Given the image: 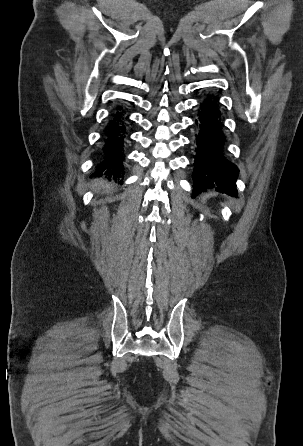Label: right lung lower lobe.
Masks as SVG:
<instances>
[{"label":"right lung lower lobe","mask_w":303,"mask_h":446,"mask_svg":"<svg viewBox=\"0 0 303 446\" xmlns=\"http://www.w3.org/2000/svg\"><path fill=\"white\" fill-rule=\"evenodd\" d=\"M126 112L118 106L113 119L110 121L106 130V137L104 139L103 157L101 161L96 165V175L105 174L120 176L124 173L122 161L123 147L128 137L126 129Z\"/></svg>","instance_id":"right-lung-lower-lobe-1"}]
</instances>
